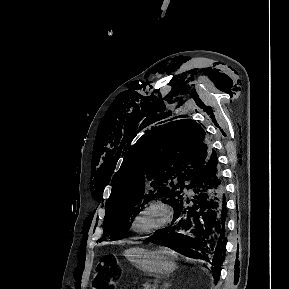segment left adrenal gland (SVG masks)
<instances>
[{
  "label": "left adrenal gland",
  "instance_id": "1",
  "mask_svg": "<svg viewBox=\"0 0 289 289\" xmlns=\"http://www.w3.org/2000/svg\"><path fill=\"white\" fill-rule=\"evenodd\" d=\"M170 285H171L170 283L165 282V283L163 284V286H162L161 289H168V287H169Z\"/></svg>",
  "mask_w": 289,
  "mask_h": 289
}]
</instances>
